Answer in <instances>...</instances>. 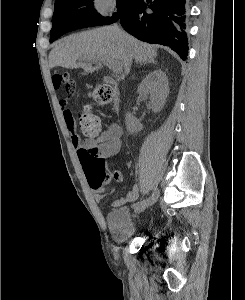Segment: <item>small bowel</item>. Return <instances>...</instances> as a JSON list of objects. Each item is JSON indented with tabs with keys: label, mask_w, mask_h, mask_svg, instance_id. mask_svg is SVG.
Instances as JSON below:
<instances>
[{
	"label": "small bowel",
	"mask_w": 245,
	"mask_h": 300,
	"mask_svg": "<svg viewBox=\"0 0 245 300\" xmlns=\"http://www.w3.org/2000/svg\"><path fill=\"white\" fill-rule=\"evenodd\" d=\"M62 115L66 129L70 133L71 144L77 151L78 157L80 159V151L82 149L95 148L99 157L109 160L112 156L116 155L122 145V129L121 127L113 123L106 130H104L98 139L96 140H81V138L76 133V122L74 117L67 106L65 100H60ZM112 178L117 182H122V173L114 169L112 172ZM139 186L134 185L132 189L126 194L125 197L114 202V206L121 205L125 202L134 201L138 198ZM104 195L100 192L94 194V199L96 202H100Z\"/></svg>",
	"instance_id": "c3829d8e"
}]
</instances>
